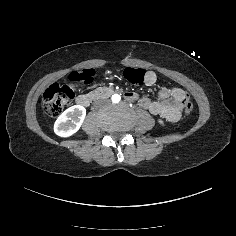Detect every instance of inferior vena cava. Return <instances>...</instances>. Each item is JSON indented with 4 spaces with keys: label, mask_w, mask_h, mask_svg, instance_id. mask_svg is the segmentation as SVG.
I'll return each instance as SVG.
<instances>
[{
    "label": "inferior vena cava",
    "mask_w": 236,
    "mask_h": 236,
    "mask_svg": "<svg viewBox=\"0 0 236 236\" xmlns=\"http://www.w3.org/2000/svg\"><path fill=\"white\" fill-rule=\"evenodd\" d=\"M106 102H107V100H105V99L97 100L94 102V106L99 107L101 105H104Z\"/></svg>",
    "instance_id": "1"
}]
</instances>
